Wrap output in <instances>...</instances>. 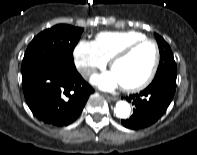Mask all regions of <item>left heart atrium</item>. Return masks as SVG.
<instances>
[{
	"mask_svg": "<svg viewBox=\"0 0 197 155\" xmlns=\"http://www.w3.org/2000/svg\"><path fill=\"white\" fill-rule=\"evenodd\" d=\"M92 82L104 90H111L121 85L118 77L113 71L94 76Z\"/></svg>",
	"mask_w": 197,
	"mask_h": 155,
	"instance_id": "obj_1",
	"label": "left heart atrium"
}]
</instances>
